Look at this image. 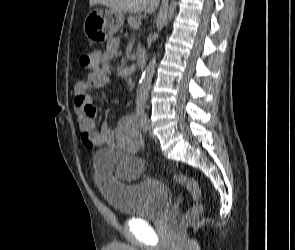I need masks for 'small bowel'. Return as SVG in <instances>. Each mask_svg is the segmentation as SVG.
<instances>
[{
	"mask_svg": "<svg viewBox=\"0 0 295 250\" xmlns=\"http://www.w3.org/2000/svg\"><path fill=\"white\" fill-rule=\"evenodd\" d=\"M118 41L112 39L103 51L91 53L93 63L86 79L79 81L74 88V103L78 115L82 143L88 147L110 146L122 150L126 156L120 160L117 175L128 180L143 171L144 162L137 156L141 136L135 119L132 116L123 118L112 129L106 122H96L97 110L91 92L109 83L111 74L110 62L117 56Z\"/></svg>",
	"mask_w": 295,
	"mask_h": 250,
	"instance_id": "small-bowel-1",
	"label": "small bowel"
}]
</instances>
